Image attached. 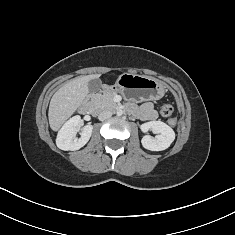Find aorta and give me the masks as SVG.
Wrapping results in <instances>:
<instances>
[{"label": "aorta", "mask_w": 235, "mask_h": 235, "mask_svg": "<svg viewBox=\"0 0 235 235\" xmlns=\"http://www.w3.org/2000/svg\"><path fill=\"white\" fill-rule=\"evenodd\" d=\"M122 114H123V111H122V110H118V111H117V115H118V116H121Z\"/></svg>", "instance_id": "762f6f07"}]
</instances>
